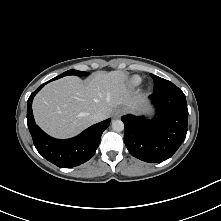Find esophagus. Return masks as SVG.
Listing matches in <instances>:
<instances>
[{
	"mask_svg": "<svg viewBox=\"0 0 221 221\" xmlns=\"http://www.w3.org/2000/svg\"><path fill=\"white\" fill-rule=\"evenodd\" d=\"M123 114V110L121 108H117L113 112V117L114 118H120Z\"/></svg>",
	"mask_w": 221,
	"mask_h": 221,
	"instance_id": "esophagus-1",
	"label": "esophagus"
}]
</instances>
